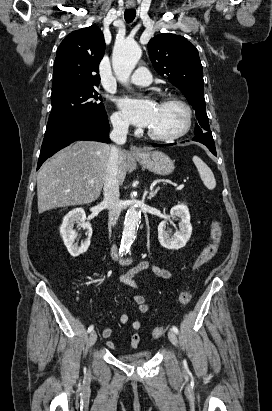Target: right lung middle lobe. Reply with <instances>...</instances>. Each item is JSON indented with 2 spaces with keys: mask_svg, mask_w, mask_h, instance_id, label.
I'll return each mask as SVG.
<instances>
[{
  "mask_svg": "<svg viewBox=\"0 0 272 411\" xmlns=\"http://www.w3.org/2000/svg\"><path fill=\"white\" fill-rule=\"evenodd\" d=\"M52 110L47 126L62 122L66 119L89 115L105 116L106 111L102 98L96 87H84L65 91L51 97Z\"/></svg>",
  "mask_w": 272,
  "mask_h": 411,
  "instance_id": "1",
  "label": "right lung middle lobe"
}]
</instances>
